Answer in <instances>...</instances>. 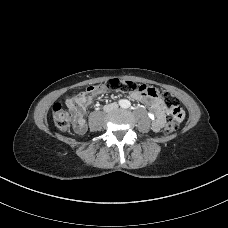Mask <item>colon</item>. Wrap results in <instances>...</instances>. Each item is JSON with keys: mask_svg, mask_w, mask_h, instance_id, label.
I'll return each instance as SVG.
<instances>
[{"mask_svg": "<svg viewBox=\"0 0 228 228\" xmlns=\"http://www.w3.org/2000/svg\"><path fill=\"white\" fill-rule=\"evenodd\" d=\"M108 90H120L123 92L140 91L150 97H158L166 110L169 111L163 131L165 134L175 132L179 126V122L183 117V111L178 105V100L171 93L147 86L137 84L133 81L122 79H111L103 85H97ZM53 120L56 127L60 130H65L69 127L72 113L69 107L65 106L61 100L54 103L52 107Z\"/></svg>", "mask_w": 228, "mask_h": 228, "instance_id": "colon-1", "label": "colon"}]
</instances>
